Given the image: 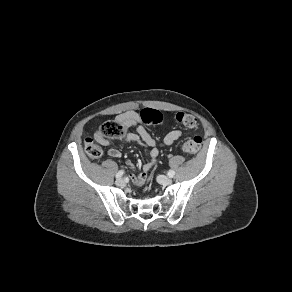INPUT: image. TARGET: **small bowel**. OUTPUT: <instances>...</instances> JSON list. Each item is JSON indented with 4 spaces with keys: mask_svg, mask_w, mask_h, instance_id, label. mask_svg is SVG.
<instances>
[{
    "mask_svg": "<svg viewBox=\"0 0 292 292\" xmlns=\"http://www.w3.org/2000/svg\"><path fill=\"white\" fill-rule=\"evenodd\" d=\"M116 121L122 123L126 128L135 127L136 133H128L120 140L124 143H137L149 149L150 161L146 163L141 172L131 173L130 180L136 186H142L147 180V173L157 164L159 156V146H170L175 141L179 140L184 132L181 130H172L168 132L161 142H157L151 134L145 129L140 113L136 111H127L117 116ZM111 139L101 138L100 144L109 147ZM108 155L113 158H120L121 152L116 148H109ZM128 164L133 167L132 162Z\"/></svg>",
    "mask_w": 292,
    "mask_h": 292,
    "instance_id": "1",
    "label": "small bowel"
}]
</instances>
